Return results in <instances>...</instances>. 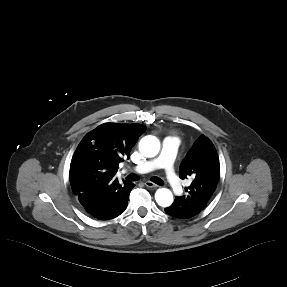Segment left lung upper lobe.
Segmentation results:
<instances>
[{
  "instance_id": "5c2ea615",
  "label": "left lung upper lobe",
  "mask_w": 287,
  "mask_h": 287,
  "mask_svg": "<svg viewBox=\"0 0 287 287\" xmlns=\"http://www.w3.org/2000/svg\"><path fill=\"white\" fill-rule=\"evenodd\" d=\"M181 179L191 177L187 194L180 197L188 208L201 211L210 200L220 177L219 158L212 142L201 135L182 161L179 169Z\"/></svg>"
}]
</instances>
